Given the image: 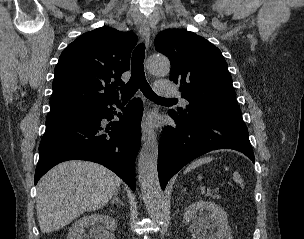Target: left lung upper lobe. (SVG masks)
I'll return each instance as SVG.
<instances>
[{"mask_svg": "<svg viewBox=\"0 0 304 239\" xmlns=\"http://www.w3.org/2000/svg\"><path fill=\"white\" fill-rule=\"evenodd\" d=\"M155 47L170 59V80L180 84L181 96L189 101L186 109L176 111L182 118L243 120L227 63L217 47L181 29L159 33Z\"/></svg>", "mask_w": 304, "mask_h": 239, "instance_id": "obj_1", "label": "left lung upper lobe"}]
</instances>
